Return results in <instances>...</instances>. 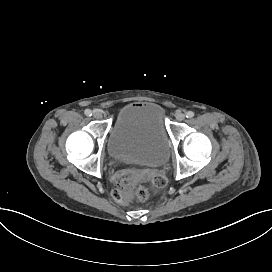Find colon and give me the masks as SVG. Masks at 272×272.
Returning <instances> with one entry per match:
<instances>
[{"mask_svg":"<svg viewBox=\"0 0 272 272\" xmlns=\"http://www.w3.org/2000/svg\"><path fill=\"white\" fill-rule=\"evenodd\" d=\"M115 200L119 204H129L133 198L137 202H146L150 198V188L146 185L137 184V175L133 171H124L116 177ZM167 178L164 173L156 174L153 177V184L162 187L166 184Z\"/></svg>","mask_w":272,"mask_h":272,"instance_id":"5ec220e1","label":"colon"}]
</instances>
